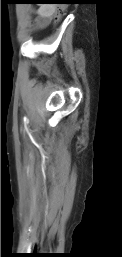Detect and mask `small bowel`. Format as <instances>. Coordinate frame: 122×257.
<instances>
[{"label":"small bowel","mask_w":122,"mask_h":257,"mask_svg":"<svg viewBox=\"0 0 122 257\" xmlns=\"http://www.w3.org/2000/svg\"><path fill=\"white\" fill-rule=\"evenodd\" d=\"M54 12H55L54 6H52V5H41L36 10L37 18L35 20V26L37 28L45 27L50 22Z\"/></svg>","instance_id":"small-bowel-1"}]
</instances>
